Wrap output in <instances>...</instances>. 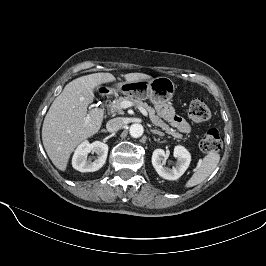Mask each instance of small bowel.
I'll list each match as a JSON object with an SVG mask.
<instances>
[{
    "instance_id": "obj_1",
    "label": "small bowel",
    "mask_w": 266,
    "mask_h": 266,
    "mask_svg": "<svg viewBox=\"0 0 266 266\" xmlns=\"http://www.w3.org/2000/svg\"><path fill=\"white\" fill-rule=\"evenodd\" d=\"M158 113L161 117L167 120L173 127L177 128L183 133H188L190 131L189 124L179 116L175 109L169 105H159L157 107Z\"/></svg>"
}]
</instances>
